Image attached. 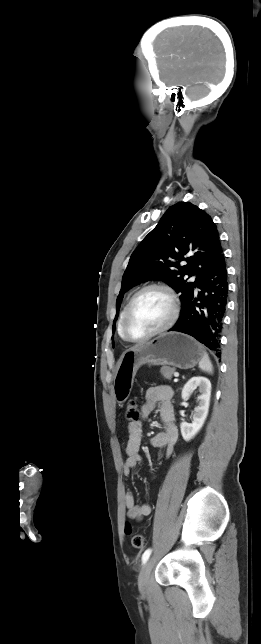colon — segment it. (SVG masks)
<instances>
[{"mask_svg": "<svg viewBox=\"0 0 261 644\" xmlns=\"http://www.w3.org/2000/svg\"><path fill=\"white\" fill-rule=\"evenodd\" d=\"M141 416L139 404L135 400H130L126 407V419L130 422L139 421ZM125 532L127 535L131 536V544L134 548L142 549L145 545V538L139 533H134L132 526L127 523L125 526Z\"/></svg>", "mask_w": 261, "mask_h": 644, "instance_id": "colon-1", "label": "colon"}]
</instances>
